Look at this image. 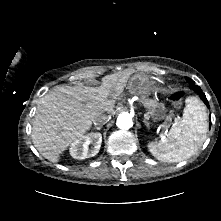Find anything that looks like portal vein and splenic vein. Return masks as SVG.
Listing matches in <instances>:
<instances>
[{
	"instance_id": "obj_1",
	"label": "portal vein and splenic vein",
	"mask_w": 221,
	"mask_h": 221,
	"mask_svg": "<svg viewBox=\"0 0 221 221\" xmlns=\"http://www.w3.org/2000/svg\"><path fill=\"white\" fill-rule=\"evenodd\" d=\"M144 116H145V118L149 119V113L148 112Z\"/></svg>"
}]
</instances>
